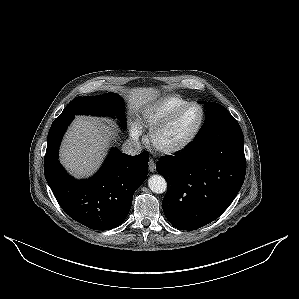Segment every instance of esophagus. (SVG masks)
I'll use <instances>...</instances> for the list:
<instances>
[{"mask_svg": "<svg viewBox=\"0 0 299 299\" xmlns=\"http://www.w3.org/2000/svg\"><path fill=\"white\" fill-rule=\"evenodd\" d=\"M148 165H149L150 172H155L156 166H155V162L152 159L149 160Z\"/></svg>", "mask_w": 299, "mask_h": 299, "instance_id": "34e87169", "label": "esophagus"}]
</instances>
